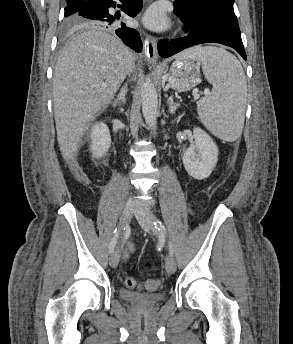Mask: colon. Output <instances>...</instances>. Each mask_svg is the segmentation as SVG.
Listing matches in <instances>:
<instances>
[{
    "label": "colon",
    "mask_w": 293,
    "mask_h": 344,
    "mask_svg": "<svg viewBox=\"0 0 293 344\" xmlns=\"http://www.w3.org/2000/svg\"><path fill=\"white\" fill-rule=\"evenodd\" d=\"M144 267L149 269V268L152 267V263L148 261V262H146L144 264ZM126 284H127V286H134L135 285V281L132 278H127L126 279ZM158 285H159L158 281L155 280V279L147 280L146 283H145L146 288L149 289V290L156 289L158 287Z\"/></svg>",
    "instance_id": "5ec220e1"
}]
</instances>
